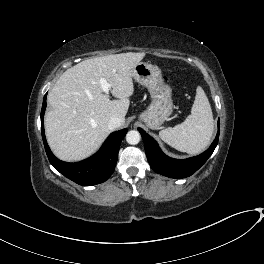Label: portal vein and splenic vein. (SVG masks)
I'll list each match as a JSON object with an SVG mask.
<instances>
[{"label": "portal vein and splenic vein", "mask_w": 264, "mask_h": 264, "mask_svg": "<svg viewBox=\"0 0 264 264\" xmlns=\"http://www.w3.org/2000/svg\"><path fill=\"white\" fill-rule=\"evenodd\" d=\"M99 84L101 86V89L104 93L108 94L109 90L111 89L112 85L108 82L106 78H100Z\"/></svg>", "instance_id": "portal-vein-and-splenic-vein-1"}]
</instances>
